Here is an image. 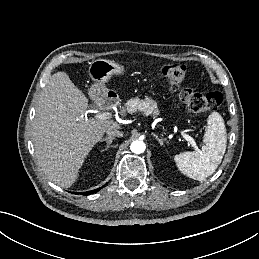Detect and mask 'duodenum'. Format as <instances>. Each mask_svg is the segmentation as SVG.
I'll return each mask as SVG.
<instances>
[{
	"instance_id": "obj_1",
	"label": "duodenum",
	"mask_w": 259,
	"mask_h": 259,
	"mask_svg": "<svg viewBox=\"0 0 259 259\" xmlns=\"http://www.w3.org/2000/svg\"><path fill=\"white\" fill-rule=\"evenodd\" d=\"M100 105L105 108H110L116 104V99L114 96L107 94L104 98L100 100Z\"/></svg>"
}]
</instances>
